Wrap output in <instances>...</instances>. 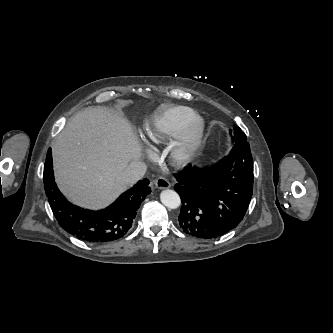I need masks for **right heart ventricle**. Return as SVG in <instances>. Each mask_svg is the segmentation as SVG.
I'll use <instances>...</instances> for the list:
<instances>
[{
  "label": "right heart ventricle",
  "instance_id": "obj_1",
  "mask_svg": "<svg viewBox=\"0 0 333 333\" xmlns=\"http://www.w3.org/2000/svg\"><path fill=\"white\" fill-rule=\"evenodd\" d=\"M197 115L188 106L169 105L163 107L157 116L145 126L144 134L150 144H161L179 133L184 124Z\"/></svg>",
  "mask_w": 333,
  "mask_h": 333
}]
</instances>
